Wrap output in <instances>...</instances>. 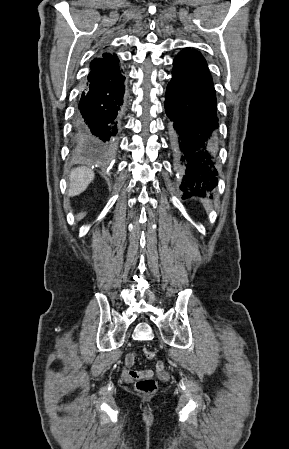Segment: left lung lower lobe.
<instances>
[{
  "mask_svg": "<svg viewBox=\"0 0 289 449\" xmlns=\"http://www.w3.org/2000/svg\"><path fill=\"white\" fill-rule=\"evenodd\" d=\"M165 95L171 147L185 166L183 198L204 196L217 186L214 135L218 129L215 89L204 57L190 48L174 59Z\"/></svg>",
  "mask_w": 289,
  "mask_h": 449,
  "instance_id": "1",
  "label": "left lung lower lobe"
}]
</instances>
